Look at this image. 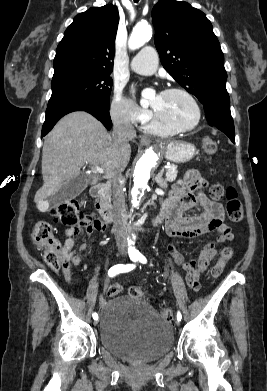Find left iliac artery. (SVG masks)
<instances>
[{"label":"left iliac artery","instance_id":"left-iliac-artery-1","mask_svg":"<svg viewBox=\"0 0 267 391\" xmlns=\"http://www.w3.org/2000/svg\"><path fill=\"white\" fill-rule=\"evenodd\" d=\"M141 263H146L147 262V260H146V258L142 255V254H138L137 255V257H136ZM181 318H182V315H181V313L178 311V313H177V320H181Z\"/></svg>","mask_w":267,"mask_h":391}]
</instances>
